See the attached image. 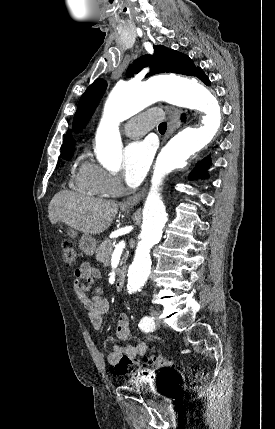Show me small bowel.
Wrapping results in <instances>:
<instances>
[{"mask_svg":"<svg viewBox=\"0 0 275 429\" xmlns=\"http://www.w3.org/2000/svg\"><path fill=\"white\" fill-rule=\"evenodd\" d=\"M100 278V272L89 263H82L74 273L73 286L77 299L86 310L90 321L96 329L103 325L104 316L109 310V301L102 294L100 289L92 298L87 296L90 285ZM116 335L119 341L112 344L108 361L114 365L116 370L122 359H128L137 362L138 356L147 353L148 345L142 340H133L130 333L129 318L127 314L122 313L119 316Z\"/></svg>","mask_w":275,"mask_h":429,"instance_id":"small-bowel-1","label":"small bowel"}]
</instances>
